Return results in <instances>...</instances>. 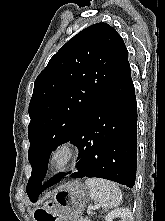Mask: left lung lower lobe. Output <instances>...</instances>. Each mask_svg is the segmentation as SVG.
I'll use <instances>...</instances> for the list:
<instances>
[{
  "mask_svg": "<svg viewBox=\"0 0 165 221\" xmlns=\"http://www.w3.org/2000/svg\"><path fill=\"white\" fill-rule=\"evenodd\" d=\"M136 136L137 105L127 61L69 140L79 148L77 169L70 177L104 178L132 188L136 179ZM64 175L49 179L39 188L40 193Z\"/></svg>",
  "mask_w": 165,
  "mask_h": 221,
  "instance_id": "left-lung-lower-lobe-1",
  "label": "left lung lower lobe"
}]
</instances>
